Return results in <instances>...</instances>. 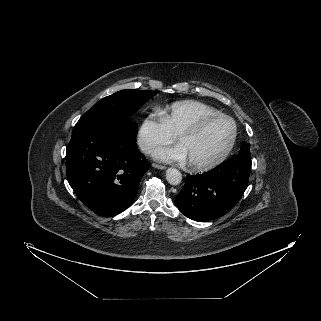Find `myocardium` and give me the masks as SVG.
I'll use <instances>...</instances> for the list:
<instances>
[{"mask_svg": "<svg viewBox=\"0 0 321 321\" xmlns=\"http://www.w3.org/2000/svg\"><path fill=\"white\" fill-rule=\"evenodd\" d=\"M215 119H225L228 120L231 125H232V134L231 138L225 147V149L222 151V153L214 160L205 162V163H199V162H192L189 161V166L193 170H199V171H204V170H210L213 169L217 166H219L221 163H223L226 158L229 156L231 153L236 139L238 135V127L236 121L229 115H226L224 113H216V114H211V115H206L195 121L193 124L183 128L180 130L177 134V139L180 140V138L184 135H193L199 132L207 123L215 120Z\"/></svg>", "mask_w": 321, "mask_h": 321, "instance_id": "f54148a6", "label": "myocardium"}]
</instances>
